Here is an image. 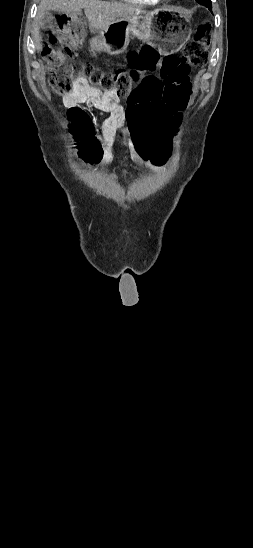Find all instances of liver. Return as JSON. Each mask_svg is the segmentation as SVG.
<instances>
[{"instance_id":"6515ba94","label":"liver","mask_w":253,"mask_h":548,"mask_svg":"<svg viewBox=\"0 0 253 548\" xmlns=\"http://www.w3.org/2000/svg\"><path fill=\"white\" fill-rule=\"evenodd\" d=\"M82 9H84L90 29L98 33L106 31L120 19L128 18L141 10L131 4L102 0H41L33 30L36 48L38 50L41 48L39 22L47 11L53 10L77 17L82 14Z\"/></svg>"}]
</instances>
